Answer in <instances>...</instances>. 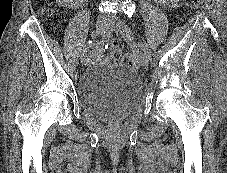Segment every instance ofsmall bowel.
<instances>
[{
  "instance_id": "obj_1",
  "label": "small bowel",
  "mask_w": 227,
  "mask_h": 173,
  "mask_svg": "<svg viewBox=\"0 0 227 173\" xmlns=\"http://www.w3.org/2000/svg\"><path fill=\"white\" fill-rule=\"evenodd\" d=\"M179 0H156L157 3H159L160 5H175ZM100 58V53L98 51H93L92 52V60L93 61H97Z\"/></svg>"
}]
</instances>
